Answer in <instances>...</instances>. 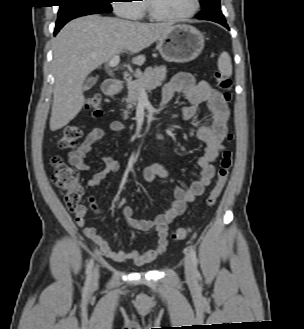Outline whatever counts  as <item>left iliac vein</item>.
<instances>
[{"label": "left iliac vein", "mask_w": 304, "mask_h": 329, "mask_svg": "<svg viewBox=\"0 0 304 329\" xmlns=\"http://www.w3.org/2000/svg\"><path fill=\"white\" fill-rule=\"evenodd\" d=\"M185 275L188 282L193 283L195 281V272L192 261L190 258L185 259Z\"/></svg>", "instance_id": "obj_1"}]
</instances>
